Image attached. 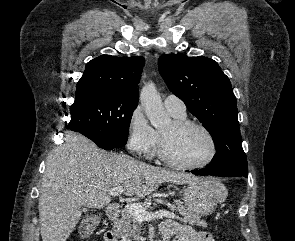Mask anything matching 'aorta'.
<instances>
[{
    "label": "aorta",
    "instance_id": "obj_1",
    "mask_svg": "<svg viewBox=\"0 0 295 241\" xmlns=\"http://www.w3.org/2000/svg\"><path fill=\"white\" fill-rule=\"evenodd\" d=\"M140 102L153 127L162 128L170 124L171 119L166 113L161 97L153 83L147 84L142 88Z\"/></svg>",
    "mask_w": 295,
    "mask_h": 241
}]
</instances>
